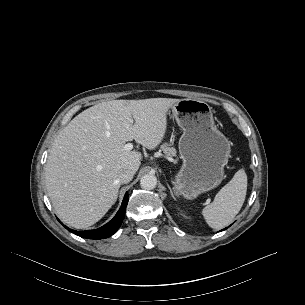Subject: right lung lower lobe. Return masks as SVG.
<instances>
[{
    "label": "right lung lower lobe",
    "instance_id": "98d812e1",
    "mask_svg": "<svg viewBox=\"0 0 305 305\" xmlns=\"http://www.w3.org/2000/svg\"><path fill=\"white\" fill-rule=\"evenodd\" d=\"M128 203V193L125 194L122 205L115 215V217L105 224L104 226L95 229V230H86V231H75L72 229H69L71 232L75 233L78 236H81L82 238L86 239H103L108 238L111 235H113L118 228L121 226L123 219L125 217V210ZM61 223V222H60ZM62 224V223H61ZM63 225V224H62ZM67 228L66 226H64Z\"/></svg>",
    "mask_w": 305,
    "mask_h": 305
}]
</instances>
